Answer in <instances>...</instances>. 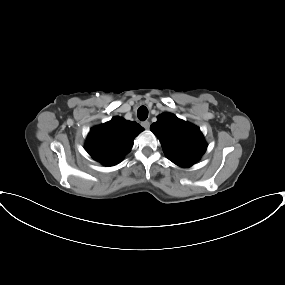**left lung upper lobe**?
Wrapping results in <instances>:
<instances>
[{
  "label": "left lung upper lobe",
  "instance_id": "obj_1",
  "mask_svg": "<svg viewBox=\"0 0 285 285\" xmlns=\"http://www.w3.org/2000/svg\"><path fill=\"white\" fill-rule=\"evenodd\" d=\"M150 130L159 138L167 158L180 167L192 166L207 149L200 129L174 114L159 115Z\"/></svg>",
  "mask_w": 285,
  "mask_h": 285
}]
</instances>
